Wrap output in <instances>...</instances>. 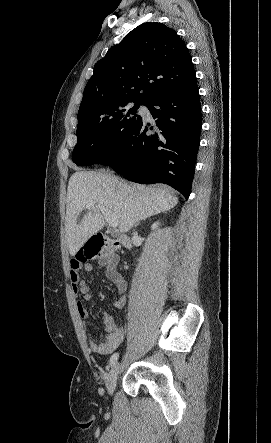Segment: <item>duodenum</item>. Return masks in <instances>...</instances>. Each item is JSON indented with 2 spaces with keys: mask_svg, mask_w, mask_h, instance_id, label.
Segmentation results:
<instances>
[{
  "mask_svg": "<svg viewBox=\"0 0 271 443\" xmlns=\"http://www.w3.org/2000/svg\"><path fill=\"white\" fill-rule=\"evenodd\" d=\"M120 242L123 244L124 247L130 248V242L127 237H121Z\"/></svg>",
  "mask_w": 271,
  "mask_h": 443,
  "instance_id": "1",
  "label": "duodenum"
}]
</instances>
